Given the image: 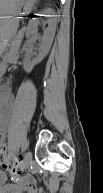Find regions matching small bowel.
Wrapping results in <instances>:
<instances>
[{
    "mask_svg": "<svg viewBox=\"0 0 103 193\" xmlns=\"http://www.w3.org/2000/svg\"><path fill=\"white\" fill-rule=\"evenodd\" d=\"M14 105V96L9 92H4L2 97L1 109L2 117L0 122L1 144L5 145L7 138V125L10 111ZM2 182V193H42V189L29 177L14 175V183H7V175L0 172Z\"/></svg>",
    "mask_w": 103,
    "mask_h": 193,
    "instance_id": "small-bowel-1",
    "label": "small bowel"
}]
</instances>
